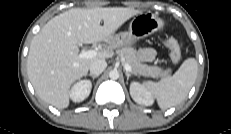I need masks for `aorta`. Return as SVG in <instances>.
Wrapping results in <instances>:
<instances>
[{"label":"aorta","mask_w":231,"mask_h":134,"mask_svg":"<svg viewBox=\"0 0 231 134\" xmlns=\"http://www.w3.org/2000/svg\"><path fill=\"white\" fill-rule=\"evenodd\" d=\"M109 77L112 80H117L119 78V72L117 70H112L109 72Z\"/></svg>","instance_id":"obj_1"}]
</instances>
